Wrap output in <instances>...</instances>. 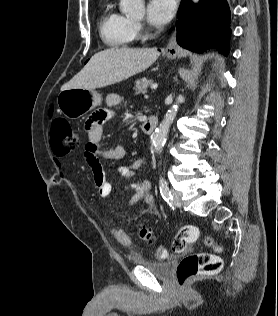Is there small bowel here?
<instances>
[{
    "label": "small bowel",
    "instance_id": "1",
    "mask_svg": "<svg viewBox=\"0 0 278 316\" xmlns=\"http://www.w3.org/2000/svg\"><path fill=\"white\" fill-rule=\"evenodd\" d=\"M123 101L122 96L118 94H109L106 97V104L109 108L118 107ZM111 111L108 109H101L92 114L87 120L85 130L87 133V143L85 144L82 157L90 167L94 184L97 188L99 195L103 198L110 196L112 187L108 182L105 171L103 169L101 159L107 160H121L126 156V150L122 146H116L113 148H106L101 143L103 126L105 122L110 119ZM146 159L144 157L138 158L132 164L118 167V174L125 180L130 181L133 179L135 172L144 165ZM129 190L133 191L131 198L125 203L126 207H131L142 201L148 207V211L157 215L158 211L155 206V200L151 193V183L148 180H141L132 182ZM109 208L113 209L114 205L108 203ZM111 233L113 236L125 246L131 244V240L124 231L116 226L114 223L109 224Z\"/></svg>",
    "mask_w": 278,
    "mask_h": 316
}]
</instances>
